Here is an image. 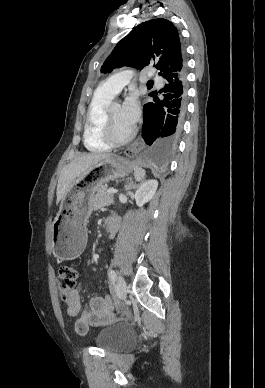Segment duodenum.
Segmentation results:
<instances>
[{
	"label": "duodenum",
	"instance_id": "1",
	"mask_svg": "<svg viewBox=\"0 0 265 388\" xmlns=\"http://www.w3.org/2000/svg\"><path fill=\"white\" fill-rule=\"evenodd\" d=\"M117 225H118V223H117L116 219L113 217H109L105 222L106 232L112 234L116 230Z\"/></svg>",
	"mask_w": 265,
	"mask_h": 388
}]
</instances>
